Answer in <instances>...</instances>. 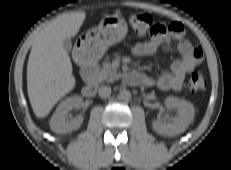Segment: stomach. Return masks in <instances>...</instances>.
<instances>
[{
  "label": "stomach",
  "instance_id": "stomach-1",
  "mask_svg": "<svg viewBox=\"0 0 231 170\" xmlns=\"http://www.w3.org/2000/svg\"><path fill=\"white\" fill-rule=\"evenodd\" d=\"M127 30L123 18L117 15L105 16L97 27L88 30L84 38L79 40L80 48L94 59H98L111 45L122 41Z\"/></svg>",
  "mask_w": 231,
  "mask_h": 170
}]
</instances>
